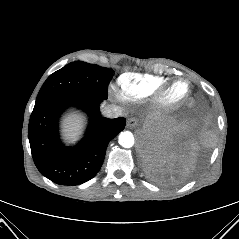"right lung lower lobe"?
I'll return each instance as SVG.
<instances>
[{"label": "right lung lower lobe", "instance_id": "1", "mask_svg": "<svg viewBox=\"0 0 239 239\" xmlns=\"http://www.w3.org/2000/svg\"><path fill=\"white\" fill-rule=\"evenodd\" d=\"M103 100L84 94H56L36 100L29 121V142L36 167L49 180L78 185L98 173L108 143L126 124L123 117H101L99 104ZM71 104L85 109L91 121L83 140L74 148H66L60 142L57 122L63 109Z\"/></svg>", "mask_w": 239, "mask_h": 239}]
</instances>
